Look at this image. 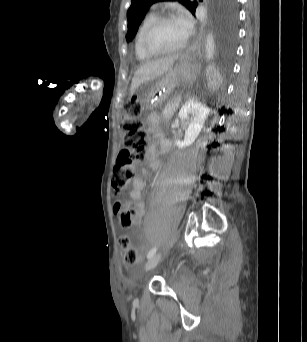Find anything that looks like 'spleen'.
Here are the masks:
<instances>
[{"label":"spleen","mask_w":307,"mask_h":342,"mask_svg":"<svg viewBox=\"0 0 307 342\" xmlns=\"http://www.w3.org/2000/svg\"><path fill=\"white\" fill-rule=\"evenodd\" d=\"M207 75L209 77L206 88L207 90H216L217 85L216 84H220L221 79L219 77L220 72L219 70H217V66L216 65H209L208 66V72Z\"/></svg>","instance_id":"1"}]
</instances>
